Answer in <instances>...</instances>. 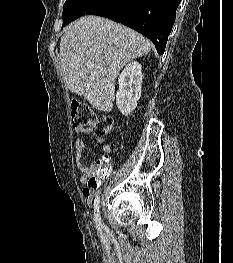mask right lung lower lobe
Returning <instances> with one entry per match:
<instances>
[{"mask_svg":"<svg viewBox=\"0 0 233 263\" xmlns=\"http://www.w3.org/2000/svg\"><path fill=\"white\" fill-rule=\"evenodd\" d=\"M180 1L122 0L113 12L99 16L107 17L138 31L154 43L158 54H163Z\"/></svg>","mask_w":233,"mask_h":263,"instance_id":"obj_1","label":"right lung lower lobe"}]
</instances>
